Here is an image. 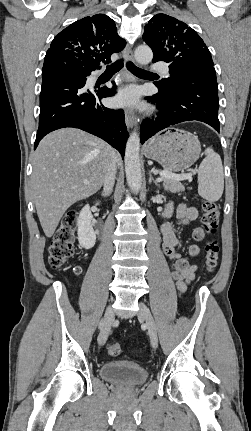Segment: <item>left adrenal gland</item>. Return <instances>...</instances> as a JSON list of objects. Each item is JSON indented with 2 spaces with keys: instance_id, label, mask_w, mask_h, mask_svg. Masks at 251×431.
Instances as JSON below:
<instances>
[{
  "instance_id": "obj_1",
  "label": "left adrenal gland",
  "mask_w": 251,
  "mask_h": 431,
  "mask_svg": "<svg viewBox=\"0 0 251 431\" xmlns=\"http://www.w3.org/2000/svg\"><path fill=\"white\" fill-rule=\"evenodd\" d=\"M149 183L151 184L152 182L153 183H155V185L157 186V187H159V183L154 179V177L152 176V171H149Z\"/></svg>"
}]
</instances>
